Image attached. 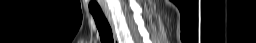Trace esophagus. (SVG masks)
<instances>
[{"instance_id": "1", "label": "esophagus", "mask_w": 256, "mask_h": 43, "mask_svg": "<svg viewBox=\"0 0 256 43\" xmlns=\"http://www.w3.org/2000/svg\"><path fill=\"white\" fill-rule=\"evenodd\" d=\"M103 12H104V14H105L110 26H111V29H112V32H113L114 43H119L116 32H115V25H114V22H113V19H112V16H111V12L109 11V9H104Z\"/></svg>"}]
</instances>
